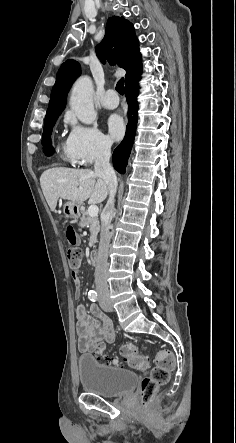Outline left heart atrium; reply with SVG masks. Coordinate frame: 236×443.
<instances>
[{"mask_svg": "<svg viewBox=\"0 0 236 443\" xmlns=\"http://www.w3.org/2000/svg\"><path fill=\"white\" fill-rule=\"evenodd\" d=\"M106 127L112 139H119L123 136L124 124L122 119L118 115H110L106 119Z\"/></svg>", "mask_w": 236, "mask_h": 443, "instance_id": "39dd6f15", "label": "left heart atrium"}]
</instances>
